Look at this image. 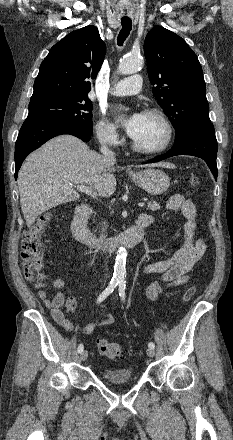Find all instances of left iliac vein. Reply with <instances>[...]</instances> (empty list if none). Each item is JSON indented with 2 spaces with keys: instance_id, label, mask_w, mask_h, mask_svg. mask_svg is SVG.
Returning a JSON list of instances; mask_svg holds the SVG:
<instances>
[{
  "instance_id": "1",
  "label": "left iliac vein",
  "mask_w": 233,
  "mask_h": 440,
  "mask_svg": "<svg viewBox=\"0 0 233 440\" xmlns=\"http://www.w3.org/2000/svg\"><path fill=\"white\" fill-rule=\"evenodd\" d=\"M146 353H147V355H148L149 357H154V356H155V351H154V349H152V348H148L147 351H146Z\"/></svg>"
}]
</instances>
